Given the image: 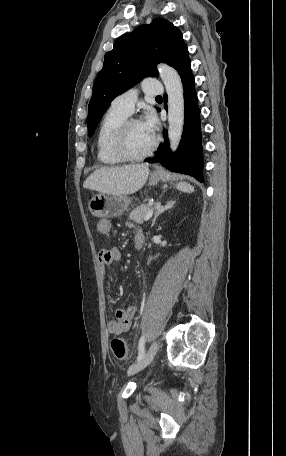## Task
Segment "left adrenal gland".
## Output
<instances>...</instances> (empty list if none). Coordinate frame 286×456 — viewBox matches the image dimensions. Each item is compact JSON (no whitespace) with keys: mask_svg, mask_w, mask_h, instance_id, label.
I'll list each match as a JSON object with an SVG mask.
<instances>
[{"mask_svg":"<svg viewBox=\"0 0 286 456\" xmlns=\"http://www.w3.org/2000/svg\"><path fill=\"white\" fill-rule=\"evenodd\" d=\"M175 204V201H168L167 204L165 206L161 205V202H157L155 204V215H154V218L152 219V224H151V227L154 226L155 224V221L157 219V217L162 214L163 212H165L166 210L168 209H171L173 207V205Z\"/></svg>","mask_w":286,"mask_h":456,"instance_id":"left-adrenal-gland-1","label":"left adrenal gland"}]
</instances>
